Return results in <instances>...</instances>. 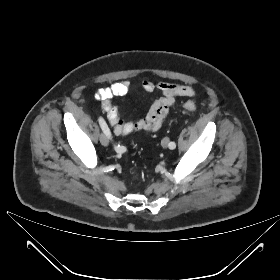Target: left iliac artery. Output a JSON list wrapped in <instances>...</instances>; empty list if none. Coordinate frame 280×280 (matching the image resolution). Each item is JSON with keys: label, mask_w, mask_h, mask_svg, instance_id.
Instances as JSON below:
<instances>
[{"label": "left iliac artery", "mask_w": 280, "mask_h": 280, "mask_svg": "<svg viewBox=\"0 0 280 280\" xmlns=\"http://www.w3.org/2000/svg\"><path fill=\"white\" fill-rule=\"evenodd\" d=\"M168 146L171 150H173V149L176 148V143L175 142H170Z\"/></svg>", "instance_id": "44dca946"}]
</instances>
